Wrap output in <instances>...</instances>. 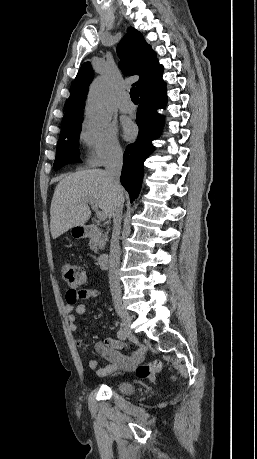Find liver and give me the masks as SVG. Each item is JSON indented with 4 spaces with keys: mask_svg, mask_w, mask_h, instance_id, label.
Listing matches in <instances>:
<instances>
[{
    "mask_svg": "<svg viewBox=\"0 0 257 459\" xmlns=\"http://www.w3.org/2000/svg\"><path fill=\"white\" fill-rule=\"evenodd\" d=\"M89 200L96 202L106 218L112 217L114 194L105 170H81L60 180L50 207V231L53 239L89 220Z\"/></svg>",
    "mask_w": 257,
    "mask_h": 459,
    "instance_id": "6515ba94",
    "label": "liver"
}]
</instances>
